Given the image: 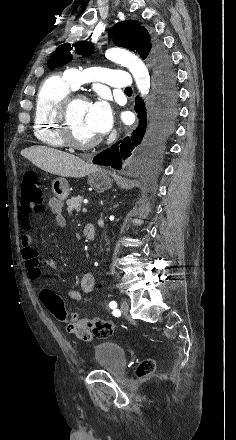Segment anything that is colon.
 Wrapping results in <instances>:
<instances>
[{"label": "colon", "instance_id": "1", "mask_svg": "<svg viewBox=\"0 0 236 440\" xmlns=\"http://www.w3.org/2000/svg\"><path fill=\"white\" fill-rule=\"evenodd\" d=\"M43 204V192L39 184V178L33 171L25 172L21 185V214L22 218L29 219L31 214L40 210ZM48 311L60 322L69 324H85L91 337L107 338L113 332V325L104 319L80 318L76 314H70L64 301L53 291L44 289L40 294ZM155 369L152 359H145L139 364L135 375L138 378L149 376Z\"/></svg>", "mask_w": 236, "mask_h": 440}]
</instances>
